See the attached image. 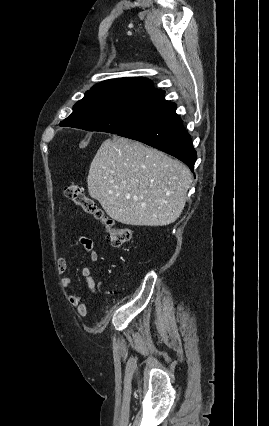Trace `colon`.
I'll use <instances>...</instances> for the list:
<instances>
[{
  "label": "colon",
  "mask_w": 269,
  "mask_h": 426,
  "mask_svg": "<svg viewBox=\"0 0 269 426\" xmlns=\"http://www.w3.org/2000/svg\"><path fill=\"white\" fill-rule=\"evenodd\" d=\"M66 197L80 208L82 213L87 214L103 225L106 238L114 246H121L132 239V232L115 224L110 218L106 217L104 212L98 208L96 202L86 196L82 188L76 183H70L65 188Z\"/></svg>",
  "instance_id": "obj_1"
}]
</instances>
